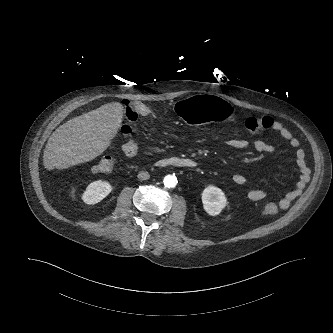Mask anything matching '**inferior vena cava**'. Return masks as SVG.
Returning a JSON list of instances; mask_svg holds the SVG:
<instances>
[{
    "mask_svg": "<svg viewBox=\"0 0 333 333\" xmlns=\"http://www.w3.org/2000/svg\"><path fill=\"white\" fill-rule=\"evenodd\" d=\"M140 180H148L150 178V175L147 171H140L137 176Z\"/></svg>",
    "mask_w": 333,
    "mask_h": 333,
    "instance_id": "602c4592",
    "label": "inferior vena cava"
}]
</instances>
